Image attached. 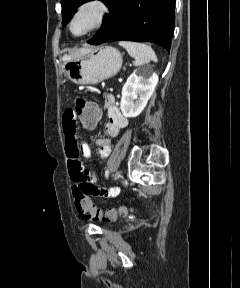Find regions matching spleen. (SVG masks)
<instances>
[{
    "instance_id": "spleen-1",
    "label": "spleen",
    "mask_w": 240,
    "mask_h": 288,
    "mask_svg": "<svg viewBox=\"0 0 240 288\" xmlns=\"http://www.w3.org/2000/svg\"><path fill=\"white\" fill-rule=\"evenodd\" d=\"M120 46L124 47L131 57L135 58V65L140 66L149 61L157 62V57L153 49L145 44L132 41H119Z\"/></svg>"
}]
</instances>
